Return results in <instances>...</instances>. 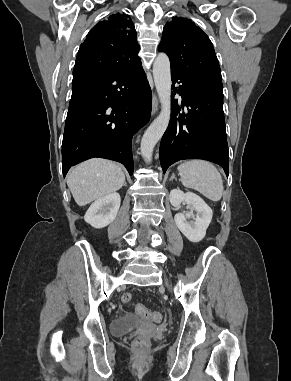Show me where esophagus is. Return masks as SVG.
<instances>
[{
    "label": "esophagus",
    "instance_id": "34e87169",
    "mask_svg": "<svg viewBox=\"0 0 291 381\" xmlns=\"http://www.w3.org/2000/svg\"><path fill=\"white\" fill-rule=\"evenodd\" d=\"M159 101L157 96L154 94L152 99V114L154 115L158 111Z\"/></svg>",
    "mask_w": 291,
    "mask_h": 381
}]
</instances>
